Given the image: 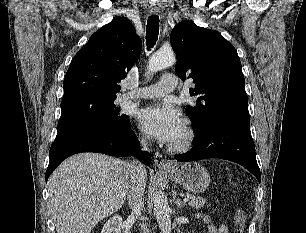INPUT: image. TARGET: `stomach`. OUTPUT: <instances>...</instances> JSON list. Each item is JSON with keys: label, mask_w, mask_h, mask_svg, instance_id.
I'll use <instances>...</instances> for the list:
<instances>
[{"label": "stomach", "mask_w": 306, "mask_h": 233, "mask_svg": "<svg viewBox=\"0 0 306 233\" xmlns=\"http://www.w3.org/2000/svg\"><path fill=\"white\" fill-rule=\"evenodd\" d=\"M164 172L174 182L195 194L204 192L210 183L209 173L197 162L176 164Z\"/></svg>", "instance_id": "0dacf381"}]
</instances>
